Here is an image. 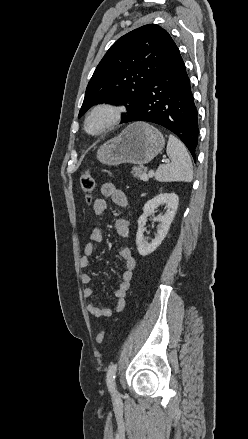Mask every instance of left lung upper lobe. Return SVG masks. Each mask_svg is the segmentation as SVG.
Segmentation results:
<instances>
[{
	"label": "left lung upper lobe",
	"mask_w": 248,
	"mask_h": 439,
	"mask_svg": "<svg viewBox=\"0 0 248 439\" xmlns=\"http://www.w3.org/2000/svg\"><path fill=\"white\" fill-rule=\"evenodd\" d=\"M176 47L169 33L154 24L119 38L96 67L78 118L95 104L115 102L127 109L121 120L124 122Z\"/></svg>",
	"instance_id": "left-lung-upper-lobe-1"
}]
</instances>
